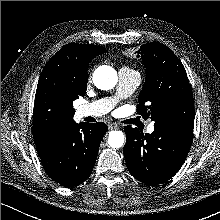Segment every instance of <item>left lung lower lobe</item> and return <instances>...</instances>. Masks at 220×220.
<instances>
[{"label": "left lung lower lobe", "mask_w": 220, "mask_h": 220, "mask_svg": "<svg viewBox=\"0 0 220 220\" xmlns=\"http://www.w3.org/2000/svg\"><path fill=\"white\" fill-rule=\"evenodd\" d=\"M124 157L134 178L149 185L171 179L183 165L193 140V128L169 122L151 134L124 127Z\"/></svg>", "instance_id": "obj_1"}]
</instances>
